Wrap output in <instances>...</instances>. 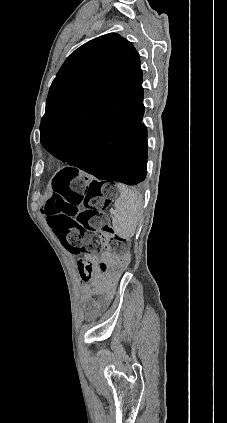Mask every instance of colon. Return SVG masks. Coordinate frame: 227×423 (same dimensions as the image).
Wrapping results in <instances>:
<instances>
[{"label": "colon", "instance_id": "5ec220e1", "mask_svg": "<svg viewBox=\"0 0 227 423\" xmlns=\"http://www.w3.org/2000/svg\"><path fill=\"white\" fill-rule=\"evenodd\" d=\"M112 186L91 182L72 170L56 174L52 194L42 213L63 246L73 254L97 253L103 246L100 234L109 233L111 247L118 258L129 252L126 239L116 235L106 223V209L114 198ZM83 281L94 278L92 265L87 260L78 262Z\"/></svg>", "mask_w": 227, "mask_h": 423}]
</instances>
